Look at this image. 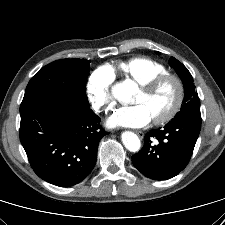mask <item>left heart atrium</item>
<instances>
[{
  "instance_id": "obj_1",
  "label": "left heart atrium",
  "mask_w": 225,
  "mask_h": 225,
  "mask_svg": "<svg viewBox=\"0 0 225 225\" xmlns=\"http://www.w3.org/2000/svg\"><path fill=\"white\" fill-rule=\"evenodd\" d=\"M153 119L149 108L142 103L123 106L117 109L109 118L111 126L139 128L147 125Z\"/></svg>"
}]
</instances>
